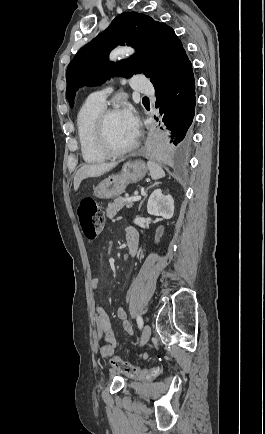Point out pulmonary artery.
<instances>
[{
	"mask_svg": "<svg viewBox=\"0 0 265 434\" xmlns=\"http://www.w3.org/2000/svg\"><path fill=\"white\" fill-rule=\"evenodd\" d=\"M133 84H147L148 76L147 75H133L131 78ZM108 93H111V90H108ZM90 99L93 103H104L105 92L102 90L99 91H91L89 94Z\"/></svg>",
	"mask_w": 265,
	"mask_h": 434,
	"instance_id": "obj_1",
	"label": "pulmonary artery"
}]
</instances>
